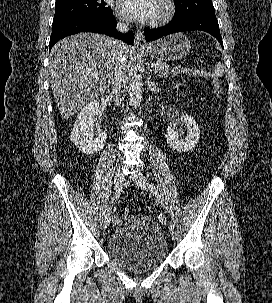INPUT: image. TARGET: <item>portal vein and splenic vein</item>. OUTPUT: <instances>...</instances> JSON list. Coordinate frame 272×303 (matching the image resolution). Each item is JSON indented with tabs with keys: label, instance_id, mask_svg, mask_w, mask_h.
I'll list each match as a JSON object with an SVG mask.
<instances>
[{
	"label": "portal vein and splenic vein",
	"instance_id": "obj_1",
	"mask_svg": "<svg viewBox=\"0 0 272 303\" xmlns=\"http://www.w3.org/2000/svg\"><path fill=\"white\" fill-rule=\"evenodd\" d=\"M154 71H155V73H159L160 72V68L159 67H155Z\"/></svg>",
	"mask_w": 272,
	"mask_h": 303
}]
</instances>
